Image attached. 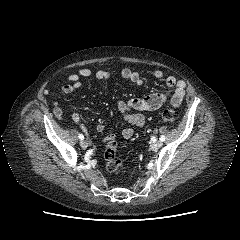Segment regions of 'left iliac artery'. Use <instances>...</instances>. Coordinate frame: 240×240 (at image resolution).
Returning <instances> with one entry per match:
<instances>
[{
  "label": "left iliac artery",
  "instance_id": "44dca946",
  "mask_svg": "<svg viewBox=\"0 0 240 240\" xmlns=\"http://www.w3.org/2000/svg\"><path fill=\"white\" fill-rule=\"evenodd\" d=\"M160 140L163 142V141H165V136H160Z\"/></svg>",
  "mask_w": 240,
  "mask_h": 240
}]
</instances>
